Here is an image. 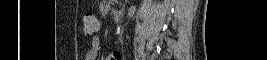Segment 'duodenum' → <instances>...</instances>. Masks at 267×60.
Here are the masks:
<instances>
[{"mask_svg":"<svg viewBox=\"0 0 267 60\" xmlns=\"http://www.w3.org/2000/svg\"><path fill=\"white\" fill-rule=\"evenodd\" d=\"M112 15L114 18H119L121 15V11L119 9L112 10Z\"/></svg>","mask_w":267,"mask_h":60,"instance_id":"1","label":"duodenum"}]
</instances>
